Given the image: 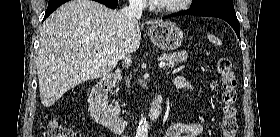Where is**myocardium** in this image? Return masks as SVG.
Here are the masks:
<instances>
[{"mask_svg":"<svg viewBox=\"0 0 280 137\" xmlns=\"http://www.w3.org/2000/svg\"><path fill=\"white\" fill-rule=\"evenodd\" d=\"M189 2V0H178V3L170 6H159L156 4H151V8L157 12L161 13H173L176 11H179L183 9L186 6V3Z\"/></svg>","mask_w":280,"mask_h":137,"instance_id":"obj_1","label":"myocardium"}]
</instances>
